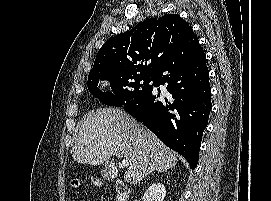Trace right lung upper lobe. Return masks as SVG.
Instances as JSON below:
<instances>
[{
    "label": "right lung upper lobe",
    "mask_w": 271,
    "mask_h": 201,
    "mask_svg": "<svg viewBox=\"0 0 271 201\" xmlns=\"http://www.w3.org/2000/svg\"><path fill=\"white\" fill-rule=\"evenodd\" d=\"M188 35L196 38L192 28L179 15L147 19L132 30L107 40L98 51L88 77L155 74Z\"/></svg>",
    "instance_id": "cb5924a9"
}]
</instances>
